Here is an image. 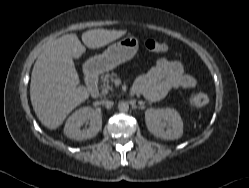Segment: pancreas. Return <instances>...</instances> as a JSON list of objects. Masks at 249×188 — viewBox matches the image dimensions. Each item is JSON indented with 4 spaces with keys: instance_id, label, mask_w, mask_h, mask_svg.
<instances>
[{
    "instance_id": "cf45deb5",
    "label": "pancreas",
    "mask_w": 249,
    "mask_h": 188,
    "mask_svg": "<svg viewBox=\"0 0 249 188\" xmlns=\"http://www.w3.org/2000/svg\"><path fill=\"white\" fill-rule=\"evenodd\" d=\"M116 77V74L111 73V74H105L101 76V95L106 96L110 91L113 90V82L114 78Z\"/></svg>"
}]
</instances>
